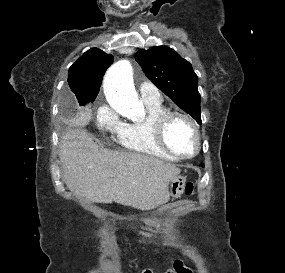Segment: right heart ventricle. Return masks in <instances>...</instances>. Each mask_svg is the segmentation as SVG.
<instances>
[{
    "instance_id": "right-heart-ventricle-1",
    "label": "right heart ventricle",
    "mask_w": 285,
    "mask_h": 273,
    "mask_svg": "<svg viewBox=\"0 0 285 273\" xmlns=\"http://www.w3.org/2000/svg\"><path fill=\"white\" fill-rule=\"evenodd\" d=\"M147 115L139 121L122 123L116 133L118 143L127 150L165 159H176L164 150L154 134L156 118L167 111L162 101L145 102Z\"/></svg>"
}]
</instances>
